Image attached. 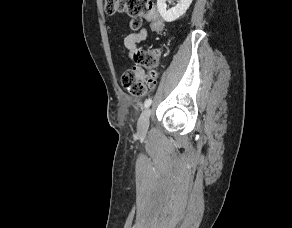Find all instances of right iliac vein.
Returning <instances> with one entry per match:
<instances>
[{
  "label": "right iliac vein",
  "instance_id": "63e3f726",
  "mask_svg": "<svg viewBox=\"0 0 292 228\" xmlns=\"http://www.w3.org/2000/svg\"><path fill=\"white\" fill-rule=\"evenodd\" d=\"M150 115H151V110L146 109L142 112L138 120V125H137L138 133L142 136L147 133Z\"/></svg>",
  "mask_w": 292,
  "mask_h": 228
}]
</instances>
